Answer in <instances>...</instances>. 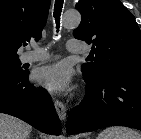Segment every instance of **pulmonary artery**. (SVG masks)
<instances>
[{
  "label": "pulmonary artery",
  "instance_id": "pulmonary-artery-1",
  "mask_svg": "<svg viewBox=\"0 0 141 139\" xmlns=\"http://www.w3.org/2000/svg\"><path fill=\"white\" fill-rule=\"evenodd\" d=\"M67 49L73 53H81L85 52L87 47L76 40H70L67 43ZM47 58H49V54L44 49L37 46H34V50L29 51L22 56V60L28 63L43 61Z\"/></svg>",
  "mask_w": 141,
  "mask_h": 139
}]
</instances>
